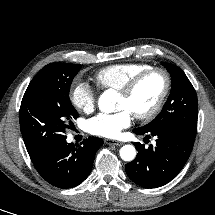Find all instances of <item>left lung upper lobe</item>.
I'll return each mask as SVG.
<instances>
[{"label":"left lung upper lobe","instance_id":"1","mask_svg":"<svg viewBox=\"0 0 215 215\" xmlns=\"http://www.w3.org/2000/svg\"><path fill=\"white\" fill-rule=\"evenodd\" d=\"M162 65L171 75L170 95L160 114L140 129L174 126L196 134L198 104L195 89L182 69L169 63L163 62Z\"/></svg>","mask_w":215,"mask_h":215}]
</instances>
